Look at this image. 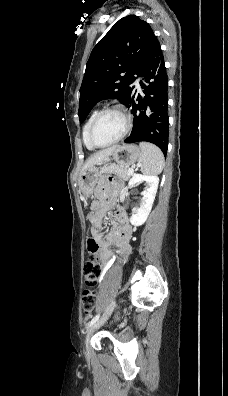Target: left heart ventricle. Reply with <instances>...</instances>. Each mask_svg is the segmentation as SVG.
Listing matches in <instances>:
<instances>
[{"label":"left heart ventricle","instance_id":"obj_1","mask_svg":"<svg viewBox=\"0 0 228 396\" xmlns=\"http://www.w3.org/2000/svg\"><path fill=\"white\" fill-rule=\"evenodd\" d=\"M124 129V120L116 112L104 114L97 122L93 139L97 144H107L115 140Z\"/></svg>","mask_w":228,"mask_h":396}]
</instances>
